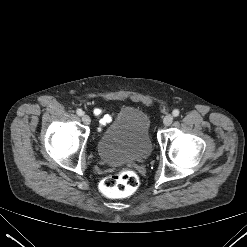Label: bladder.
Returning <instances> with one entry per match:
<instances>
[{"instance_id": "31cf9c89", "label": "bladder", "mask_w": 247, "mask_h": 247, "mask_svg": "<svg viewBox=\"0 0 247 247\" xmlns=\"http://www.w3.org/2000/svg\"><path fill=\"white\" fill-rule=\"evenodd\" d=\"M97 151L108 165L147 159L152 151L147 115L134 107L121 109L101 135Z\"/></svg>"}]
</instances>
